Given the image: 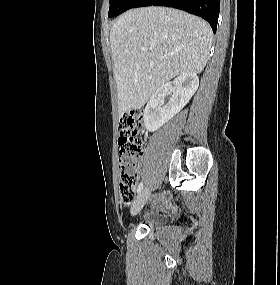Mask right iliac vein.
Masks as SVG:
<instances>
[{"instance_id":"obj_1","label":"right iliac vein","mask_w":280,"mask_h":285,"mask_svg":"<svg viewBox=\"0 0 280 285\" xmlns=\"http://www.w3.org/2000/svg\"><path fill=\"white\" fill-rule=\"evenodd\" d=\"M149 197H150L149 189H144L143 191H141L131 207V214L136 215L137 213H139L147 203Z\"/></svg>"}]
</instances>
